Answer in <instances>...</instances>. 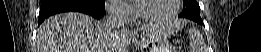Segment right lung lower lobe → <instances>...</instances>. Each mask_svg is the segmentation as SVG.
I'll use <instances>...</instances> for the list:
<instances>
[{
    "instance_id": "obj_1",
    "label": "right lung lower lobe",
    "mask_w": 261,
    "mask_h": 52,
    "mask_svg": "<svg viewBox=\"0 0 261 52\" xmlns=\"http://www.w3.org/2000/svg\"><path fill=\"white\" fill-rule=\"evenodd\" d=\"M82 12L100 19L105 13L104 0H41L39 22L61 12Z\"/></svg>"
}]
</instances>
